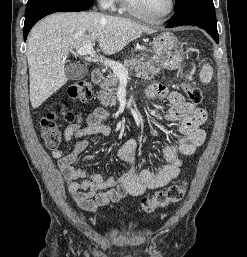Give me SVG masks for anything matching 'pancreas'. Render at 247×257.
Wrapping results in <instances>:
<instances>
[{"label":"pancreas","mask_w":247,"mask_h":257,"mask_svg":"<svg viewBox=\"0 0 247 257\" xmlns=\"http://www.w3.org/2000/svg\"><path fill=\"white\" fill-rule=\"evenodd\" d=\"M123 66L130 71L133 70L136 77L145 80H152L160 73V69L156 68L150 61H144L143 59L132 58L125 61ZM118 81V77L113 72L109 73L100 84L101 90L99 91L98 99L103 106L112 107L116 105L115 95L118 89Z\"/></svg>","instance_id":"obj_1"}]
</instances>
